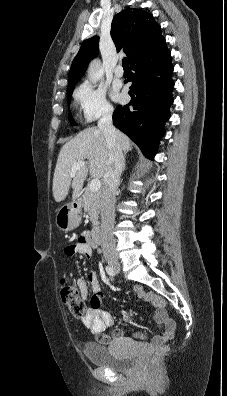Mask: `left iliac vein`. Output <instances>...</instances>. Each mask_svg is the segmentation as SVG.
<instances>
[{
  "label": "left iliac vein",
  "instance_id": "1",
  "mask_svg": "<svg viewBox=\"0 0 227 396\" xmlns=\"http://www.w3.org/2000/svg\"><path fill=\"white\" fill-rule=\"evenodd\" d=\"M120 270L119 266L117 268H115L116 273H118Z\"/></svg>",
  "mask_w": 227,
  "mask_h": 396
}]
</instances>
